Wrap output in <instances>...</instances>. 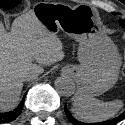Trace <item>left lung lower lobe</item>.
Returning a JSON list of instances; mask_svg holds the SVG:
<instances>
[{
    "instance_id": "1",
    "label": "left lung lower lobe",
    "mask_w": 125,
    "mask_h": 125,
    "mask_svg": "<svg viewBox=\"0 0 125 125\" xmlns=\"http://www.w3.org/2000/svg\"><path fill=\"white\" fill-rule=\"evenodd\" d=\"M65 113L67 118L69 119V121L73 124V125H115L116 123L120 122L121 120L125 119V112H123L122 114H120L118 117L112 119V120H107L104 122H99V123H83L80 122L78 120H76L70 113V111L67 109V107L65 106L64 108Z\"/></svg>"
}]
</instances>
